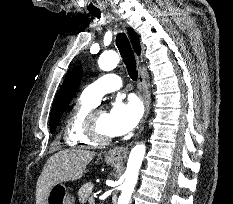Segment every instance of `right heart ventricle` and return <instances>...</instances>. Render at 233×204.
<instances>
[{"label": "right heart ventricle", "instance_id": "right-heart-ventricle-1", "mask_svg": "<svg viewBox=\"0 0 233 204\" xmlns=\"http://www.w3.org/2000/svg\"><path fill=\"white\" fill-rule=\"evenodd\" d=\"M97 104L81 96L70 110L64 126V139L70 147H92L97 143L86 132V119Z\"/></svg>", "mask_w": 233, "mask_h": 204}]
</instances>
